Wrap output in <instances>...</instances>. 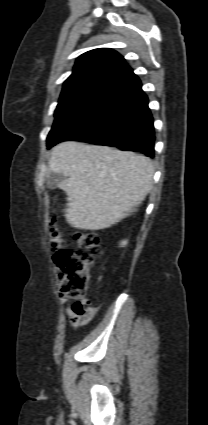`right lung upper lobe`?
Instances as JSON below:
<instances>
[{
	"instance_id": "obj_1",
	"label": "right lung upper lobe",
	"mask_w": 208,
	"mask_h": 425,
	"mask_svg": "<svg viewBox=\"0 0 208 425\" xmlns=\"http://www.w3.org/2000/svg\"><path fill=\"white\" fill-rule=\"evenodd\" d=\"M130 67L109 48L88 51L76 60L72 74L64 82L60 99L82 91H102Z\"/></svg>"
}]
</instances>
